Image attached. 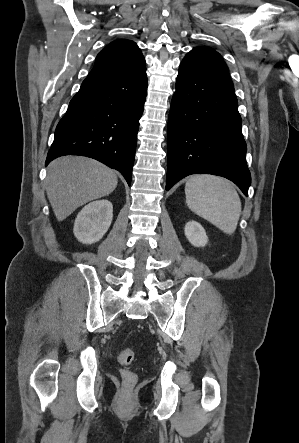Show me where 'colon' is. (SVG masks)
Here are the masks:
<instances>
[{
	"label": "colon",
	"mask_w": 299,
	"mask_h": 443,
	"mask_svg": "<svg viewBox=\"0 0 299 443\" xmlns=\"http://www.w3.org/2000/svg\"><path fill=\"white\" fill-rule=\"evenodd\" d=\"M117 358L121 365L128 366L134 360V352L131 349H123L118 353ZM121 377L124 385L127 387H132L137 382L136 374L129 369H122Z\"/></svg>",
	"instance_id": "1"
}]
</instances>
